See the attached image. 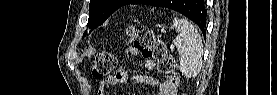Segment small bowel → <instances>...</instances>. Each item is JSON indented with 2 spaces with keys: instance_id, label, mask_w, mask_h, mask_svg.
I'll list each match as a JSON object with an SVG mask.
<instances>
[{
  "instance_id": "c3829d8e",
  "label": "small bowel",
  "mask_w": 277,
  "mask_h": 95,
  "mask_svg": "<svg viewBox=\"0 0 277 95\" xmlns=\"http://www.w3.org/2000/svg\"><path fill=\"white\" fill-rule=\"evenodd\" d=\"M128 51L131 56L141 58L144 62V67L147 70V73L140 77L141 80L145 83L152 82L154 78L156 63L134 48H129ZM126 79V71L123 69H118L114 74L108 76L105 80L99 83L98 94L106 95V85H117L119 83L125 82ZM177 82L178 78L176 76H166L164 78V81L160 85V95H175Z\"/></svg>"
}]
</instances>
